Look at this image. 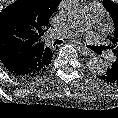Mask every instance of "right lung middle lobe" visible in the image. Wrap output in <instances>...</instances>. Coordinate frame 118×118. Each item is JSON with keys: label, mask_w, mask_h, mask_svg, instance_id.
<instances>
[{"label": "right lung middle lobe", "mask_w": 118, "mask_h": 118, "mask_svg": "<svg viewBox=\"0 0 118 118\" xmlns=\"http://www.w3.org/2000/svg\"><path fill=\"white\" fill-rule=\"evenodd\" d=\"M21 18V10L17 6H12L5 13V20L13 26H18Z\"/></svg>", "instance_id": "right-lung-middle-lobe-1"}]
</instances>
